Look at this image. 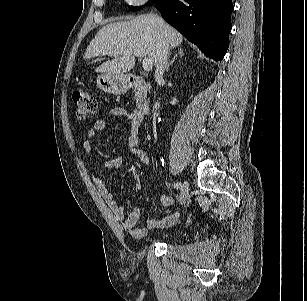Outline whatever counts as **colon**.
Returning a JSON list of instances; mask_svg holds the SVG:
<instances>
[{
    "label": "colon",
    "mask_w": 307,
    "mask_h": 301,
    "mask_svg": "<svg viewBox=\"0 0 307 301\" xmlns=\"http://www.w3.org/2000/svg\"><path fill=\"white\" fill-rule=\"evenodd\" d=\"M73 102L76 116L80 119L93 115L97 110L96 98L86 91L75 92L73 94Z\"/></svg>",
    "instance_id": "colon-1"
}]
</instances>
